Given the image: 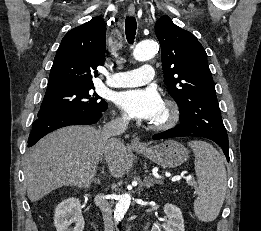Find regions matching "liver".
<instances>
[{"instance_id":"obj_1","label":"liver","mask_w":261,"mask_h":231,"mask_svg":"<svg viewBox=\"0 0 261 231\" xmlns=\"http://www.w3.org/2000/svg\"><path fill=\"white\" fill-rule=\"evenodd\" d=\"M104 151L102 133L92 126H69L48 134L35 145L26 160L28 198L38 201L62 186L88 188ZM128 165L127 148L121 143L108 162L109 171L120 178Z\"/></svg>"}]
</instances>
